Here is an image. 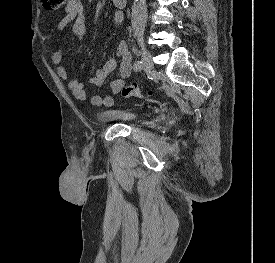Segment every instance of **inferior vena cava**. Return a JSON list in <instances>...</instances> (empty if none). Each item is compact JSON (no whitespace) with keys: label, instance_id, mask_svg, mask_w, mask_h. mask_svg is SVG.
I'll use <instances>...</instances> for the list:
<instances>
[{"label":"inferior vena cava","instance_id":"602c4592","mask_svg":"<svg viewBox=\"0 0 275 263\" xmlns=\"http://www.w3.org/2000/svg\"><path fill=\"white\" fill-rule=\"evenodd\" d=\"M147 7L146 0H134L132 6L131 23L136 34L143 33L146 26Z\"/></svg>","mask_w":275,"mask_h":263}]
</instances>
